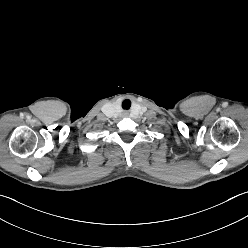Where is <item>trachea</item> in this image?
Instances as JSON below:
<instances>
[{
    "label": "trachea",
    "mask_w": 248,
    "mask_h": 248,
    "mask_svg": "<svg viewBox=\"0 0 248 248\" xmlns=\"http://www.w3.org/2000/svg\"><path fill=\"white\" fill-rule=\"evenodd\" d=\"M131 107V101L129 99H125L122 103V108L128 110Z\"/></svg>",
    "instance_id": "trachea-1"
}]
</instances>
